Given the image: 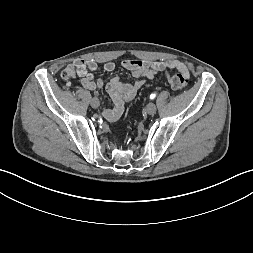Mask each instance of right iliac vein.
<instances>
[{
  "instance_id": "obj_1",
  "label": "right iliac vein",
  "mask_w": 253,
  "mask_h": 253,
  "mask_svg": "<svg viewBox=\"0 0 253 253\" xmlns=\"http://www.w3.org/2000/svg\"><path fill=\"white\" fill-rule=\"evenodd\" d=\"M99 100H98V98H96V97H94L92 100H91V106L93 107V108H98L99 107Z\"/></svg>"
}]
</instances>
